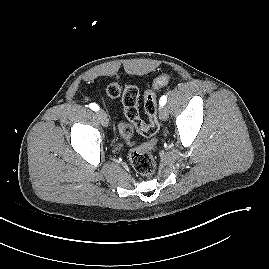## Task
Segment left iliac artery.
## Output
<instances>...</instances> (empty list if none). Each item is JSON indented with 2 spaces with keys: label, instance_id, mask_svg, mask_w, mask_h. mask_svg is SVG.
<instances>
[{
  "label": "left iliac artery",
  "instance_id": "1",
  "mask_svg": "<svg viewBox=\"0 0 269 269\" xmlns=\"http://www.w3.org/2000/svg\"><path fill=\"white\" fill-rule=\"evenodd\" d=\"M166 102H167V96H166V95H163V96L160 98L159 103H160L161 106H164V105L166 104Z\"/></svg>",
  "mask_w": 269,
  "mask_h": 269
}]
</instances>
